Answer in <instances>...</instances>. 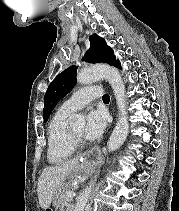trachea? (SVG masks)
<instances>
[{
  "label": "trachea",
  "instance_id": "1",
  "mask_svg": "<svg viewBox=\"0 0 179 211\" xmlns=\"http://www.w3.org/2000/svg\"><path fill=\"white\" fill-rule=\"evenodd\" d=\"M103 100H104V101H109V100H110V96L107 95V94H105V95L103 96Z\"/></svg>",
  "mask_w": 179,
  "mask_h": 211
}]
</instances>
